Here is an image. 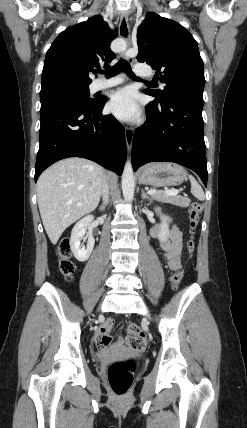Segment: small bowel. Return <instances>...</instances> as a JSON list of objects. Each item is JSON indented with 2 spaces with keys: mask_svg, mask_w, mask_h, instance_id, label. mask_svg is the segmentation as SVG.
<instances>
[{
  "mask_svg": "<svg viewBox=\"0 0 247 428\" xmlns=\"http://www.w3.org/2000/svg\"><path fill=\"white\" fill-rule=\"evenodd\" d=\"M152 235L161 240L160 246L163 250V258L170 270H178L181 265V253L183 247V235L175 226L164 228L157 225L152 229ZM101 335L99 332L98 337Z\"/></svg>",
  "mask_w": 247,
  "mask_h": 428,
  "instance_id": "c3829d8e",
  "label": "small bowel"
}]
</instances>
